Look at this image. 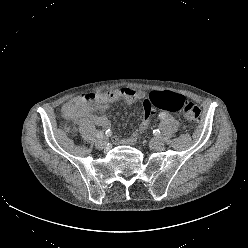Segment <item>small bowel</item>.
Masks as SVG:
<instances>
[{"label": "small bowel", "instance_id": "small-bowel-1", "mask_svg": "<svg viewBox=\"0 0 248 248\" xmlns=\"http://www.w3.org/2000/svg\"><path fill=\"white\" fill-rule=\"evenodd\" d=\"M145 93L142 90L123 87L107 92H90L74 97L64 104L62 113L67 119H79L87 117L96 124L104 127H110L109 119L102 114L109 104L121 99L126 104L132 105L137 101L143 99ZM180 131L185 132L188 129L187 124L182 123L179 126ZM137 139V134L133 133L128 138L114 137L116 144L126 143L133 144Z\"/></svg>", "mask_w": 248, "mask_h": 248}]
</instances>
